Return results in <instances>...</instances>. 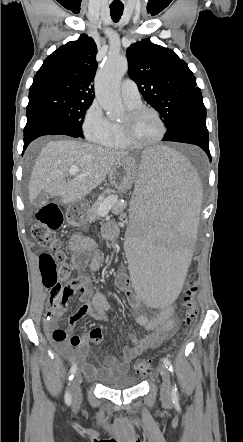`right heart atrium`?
<instances>
[{"label":"right heart atrium","mask_w":243,"mask_h":442,"mask_svg":"<svg viewBox=\"0 0 243 442\" xmlns=\"http://www.w3.org/2000/svg\"><path fill=\"white\" fill-rule=\"evenodd\" d=\"M110 121L105 116L97 101H93L87 108L83 122L82 131L85 137L92 142H98L109 131Z\"/></svg>","instance_id":"1"}]
</instances>
